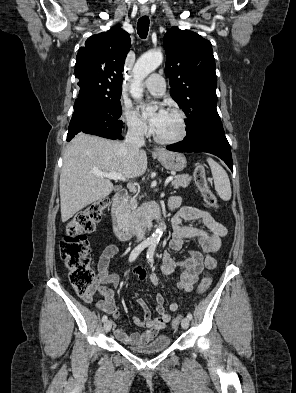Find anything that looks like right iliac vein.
Instances as JSON below:
<instances>
[{
	"mask_svg": "<svg viewBox=\"0 0 296 393\" xmlns=\"http://www.w3.org/2000/svg\"><path fill=\"white\" fill-rule=\"evenodd\" d=\"M111 328H112L111 321H106L104 323V330H105V332H109L111 330Z\"/></svg>",
	"mask_w": 296,
	"mask_h": 393,
	"instance_id": "63e3f726",
	"label": "right iliac vein"
}]
</instances>
